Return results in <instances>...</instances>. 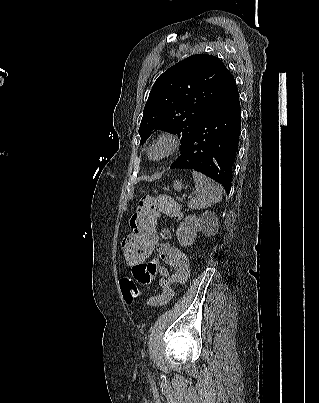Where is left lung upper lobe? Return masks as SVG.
Wrapping results in <instances>:
<instances>
[{
	"label": "left lung upper lobe",
	"instance_id": "5c2ea615",
	"mask_svg": "<svg viewBox=\"0 0 319 403\" xmlns=\"http://www.w3.org/2000/svg\"><path fill=\"white\" fill-rule=\"evenodd\" d=\"M230 76L215 56L196 54L170 67L155 81L139 128L140 144L151 131L182 133L181 153L194 130Z\"/></svg>",
	"mask_w": 319,
	"mask_h": 403
}]
</instances>
